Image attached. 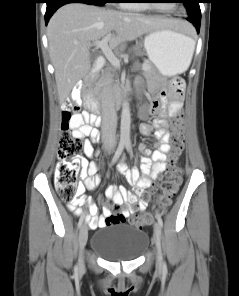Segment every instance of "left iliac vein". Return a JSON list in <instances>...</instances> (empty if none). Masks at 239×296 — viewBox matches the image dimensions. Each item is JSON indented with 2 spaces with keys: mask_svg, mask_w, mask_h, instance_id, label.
Wrapping results in <instances>:
<instances>
[{
  "mask_svg": "<svg viewBox=\"0 0 239 296\" xmlns=\"http://www.w3.org/2000/svg\"><path fill=\"white\" fill-rule=\"evenodd\" d=\"M155 248H156V266L157 268L162 267V253H161V227L159 223L154 224V237H153Z\"/></svg>",
  "mask_w": 239,
  "mask_h": 296,
  "instance_id": "1",
  "label": "left iliac vein"
}]
</instances>
